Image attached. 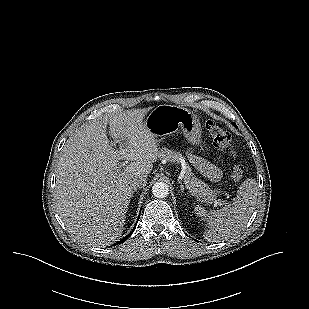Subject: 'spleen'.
<instances>
[{
  "label": "spleen",
  "instance_id": "spleen-1",
  "mask_svg": "<svg viewBox=\"0 0 309 309\" xmlns=\"http://www.w3.org/2000/svg\"><path fill=\"white\" fill-rule=\"evenodd\" d=\"M259 189L254 179H246L232 204L207 212L204 207L196 206L194 211L197 217L207 222L205 239L212 242L227 240L239 233L251 217L257 203Z\"/></svg>",
  "mask_w": 309,
  "mask_h": 309
}]
</instances>
